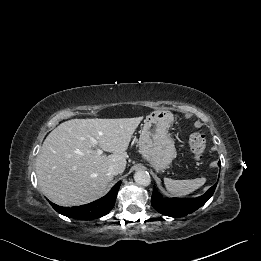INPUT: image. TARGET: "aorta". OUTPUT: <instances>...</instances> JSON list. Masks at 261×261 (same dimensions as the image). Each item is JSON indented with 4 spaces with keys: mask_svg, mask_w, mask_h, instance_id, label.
<instances>
[{
    "mask_svg": "<svg viewBox=\"0 0 261 261\" xmlns=\"http://www.w3.org/2000/svg\"><path fill=\"white\" fill-rule=\"evenodd\" d=\"M134 180L137 184L142 186H148L151 183V177L147 171H137L134 174Z\"/></svg>",
    "mask_w": 261,
    "mask_h": 261,
    "instance_id": "aorta-1",
    "label": "aorta"
}]
</instances>
